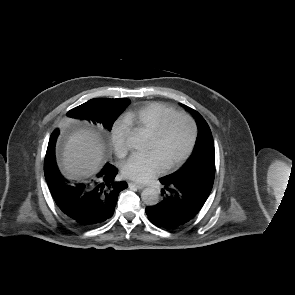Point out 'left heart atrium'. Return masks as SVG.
Listing matches in <instances>:
<instances>
[{"label":"left heart atrium","mask_w":295,"mask_h":295,"mask_svg":"<svg viewBox=\"0 0 295 295\" xmlns=\"http://www.w3.org/2000/svg\"><path fill=\"white\" fill-rule=\"evenodd\" d=\"M165 165L154 151L132 155L123 165V174L136 182L145 183L163 172Z\"/></svg>","instance_id":"left-heart-atrium-1"}]
</instances>
